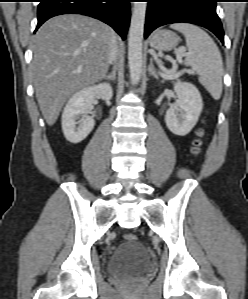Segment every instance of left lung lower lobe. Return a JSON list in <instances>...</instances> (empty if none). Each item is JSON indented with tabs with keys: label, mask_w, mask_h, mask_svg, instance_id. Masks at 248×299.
Wrapping results in <instances>:
<instances>
[{
	"label": "left lung lower lobe",
	"mask_w": 248,
	"mask_h": 299,
	"mask_svg": "<svg viewBox=\"0 0 248 299\" xmlns=\"http://www.w3.org/2000/svg\"><path fill=\"white\" fill-rule=\"evenodd\" d=\"M144 37L157 27L172 23H191L212 31L224 44V32L216 13L218 0H146Z\"/></svg>",
	"instance_id": "1"
}]
</instances>
